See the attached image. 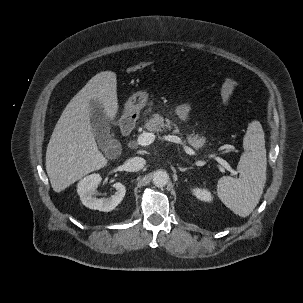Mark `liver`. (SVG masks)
<instances>
[{
    "label": "liver",
    "instance_id": "liver-1",
    "mask_svg": "<svg viewBox=\"0 0 303 303\" xmlns=\"http://www.w3.org/2000/svg\"><path fill=\"white\" fill-rule=\"evenodd\" d=\"M92 103L112 121L118 112L117 80L112 71L93 76L71 99L60 116L46 151V171L53 190H65L108 160L99 151L91 125Z\"/></svg>",
    "mask_w": 303,
    "mask_h": 303
}]
</instances>
